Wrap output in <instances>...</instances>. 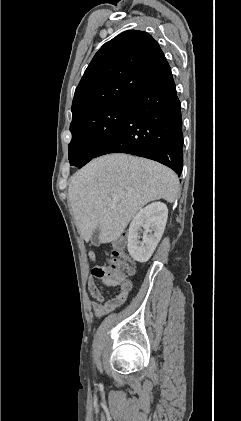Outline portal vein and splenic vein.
<instances>
[{
    "instance_id": "18ae733b",
    "label": "portal vein and splenic vein",
    "mask_w": 241,
    "mask_h": 421,
    "mask_svg": "<svg viewBox=\"0 0 241 421\" xmlns=\"http://www.w3.org/2000/svg\"><path fill=\"white\" fill-rule=\"evenodd\" d=\"M112 197H113L114 199H116V198H117V196H116V195H114V194L112 195Z\"/></svg>"
}]
</instances>
